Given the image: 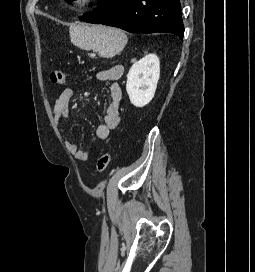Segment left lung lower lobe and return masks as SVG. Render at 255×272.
Masks as SVG:
<instances>
[{"instance_id": "0a47b994", "label": "left lung lower lobe", "mask_w": 255, "mask_h": 272, "mask_svg": "<svg viewBox=\"0 0 255 272\" xmlns=\"http://www.w3.org/2000/svg\"><path fill=\"white\" fill-rule=\"evenodd\" d=\"M81 20L114 26L131 33H172L181 40L184 26L179 0H100Z\"/></svg>"}]
</instances>
